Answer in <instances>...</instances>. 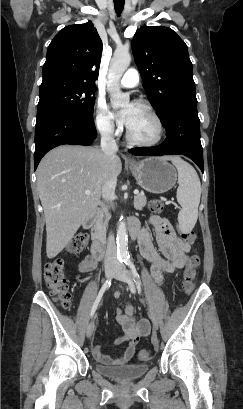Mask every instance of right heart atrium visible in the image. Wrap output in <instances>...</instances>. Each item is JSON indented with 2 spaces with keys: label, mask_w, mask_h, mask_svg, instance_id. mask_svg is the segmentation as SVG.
Masks as SVG:
<instances>
[{
  "label": "right heart atrium",
  "mask_w": 243,
  "mask_h": 409,
  "mask_svg": "<svg viewBox=\"0 0 243 409\" xmlns=\"http://www.w3.org/2000/svg\"><path fill=\"white\" fill-rule=\"evenodd\" d=\"M94 121L97 130L107 137L116 136L119 132L106 103L102 100H98L96 103Z\"/></svg>",
  "instance_id": "right-heart-atrium-1"
}]
</instances>
